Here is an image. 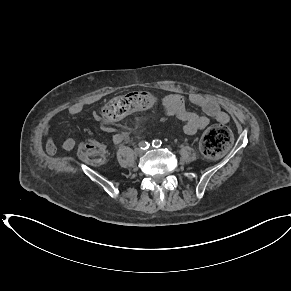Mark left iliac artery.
Segmentation results:
<instances>
[{"mask_svg": "<svg viewBox=\"0 0 291 291\" xmlns=\"http://www.w3.org/2000/svg\"><path fill=\"white\" fill-rule=\"evenodd\" d=\"M162 145V141L159 140V139H155L152 141V146L155 147V148H158Z\"/></svg>", "mask_w": 291, "mask_h": 291, "instance_id": "1", "label": "left iliac artery"}]
</instances>
